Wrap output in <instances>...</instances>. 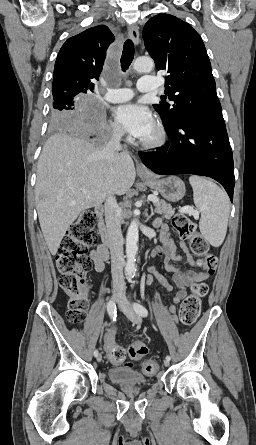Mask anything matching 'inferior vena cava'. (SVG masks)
I'll return each instance as SVG.
<instances>
[{"mask_svg": "<svg viewBox=\"0 0 256 445\" xmlns=\"http://www.w3.org/2000/svg\"><path fill=\"white\" fill-rule=\"evenodd\" d=\"M123 134L124 131L120 127H115L110 141L103 149V157L109 164L114 161L117 151L121 149L120 140ZM118 208L115 197L113 194H110L105 202V221L111 253L112 285L115 292L123 293L126 289L123 276L124 240L121 232V221L118 216Z\"/></svg>", "mask_w": 256, "mask_h": 445, "instance_id": "1", "label": "inferior vena cava"}]
</instances>
